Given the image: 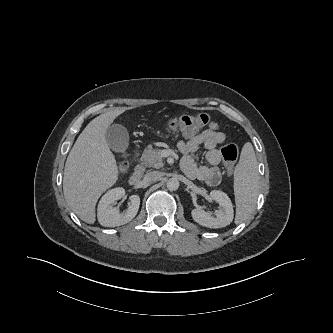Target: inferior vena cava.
<instances>
[{"mask_svg":"<svg viewBox=\"0 0 333 333\" xmlns=\"http://www.w3.org/2000/svg\"><path fill=\"white\" fill-rule=\"evenodd\" d=\"M162 176L161 172L159 171H151L145 174L144 181L151 182L160 179Z\"/></svg>","mask_w":333,"mask_h":333,"instance_id":"1","label":"inferior vena cava"}]
</instances>
